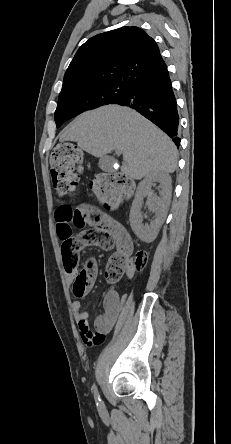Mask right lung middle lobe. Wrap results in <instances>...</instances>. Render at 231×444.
Instances as JSON below:
<instances>
[{
	"mask_svg": "<svg viewBox=\"0 0 231 444\" xmlns=\"http://www.w3.org/2000/svg\"><path fill=\"white\" fill-rule=\"evenodd\" d=\"M130 89V85L110 83L61 92L54 115L57 128L65 121L86 110L115 103L124 98Z\"/></svg>",
	"mask_w": 231,
	"mask_h": 444,
	"instance_id": "obj_1",
	"label": "right lung middle lobe"
}]
</instances>
